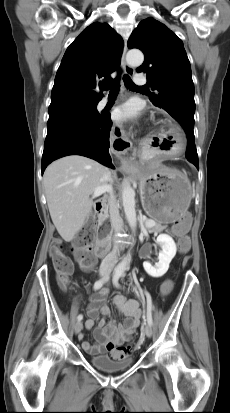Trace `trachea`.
<instances>
[{"instance_id":"trachea-1","label":"trachea","mask_w":230,"mask_h":413,"mask_svg":"<svg viewBox=\"0 0 230 413\" xmlns=\"http://www.w3.org/2000/svg\"><path fill=\"white\" fill-rule=\"evenodd\" d=\"M124 80V84L128 89H142L143 87H137L133 81L131 80V78L129 77V75H124L123 77ZM102 89L104 90H110L109 94L110 95H114V94H118L119 90H120V77H116V79L112 82V83H108V84H103L101 86Z\"/></svg>"}]
</instances>
